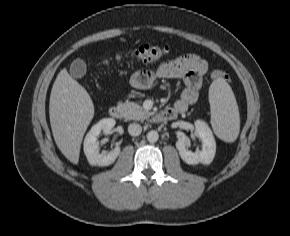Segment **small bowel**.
<instances>
[{
    "mask_svg": "<svg viewBox=\"0 0 290 236\" xmlns=\"http://www.w3.org/2000/svg\"><path fill=\"white\" fill-rule=\"evenodd\" d=\"M207 71L206 60L197 53L189 52L162 62L154 71L135 72L131 77V84L136 89H147L157 80L182 79L185 88L175 102L174 108L186 110L197 101L203 77Z\"/></svg>",
    "mask_w": 290,
    "mask_h": 236,
    "instance_id": "c3829d8e",
    "label": "small bowel"
}]
</instances>
